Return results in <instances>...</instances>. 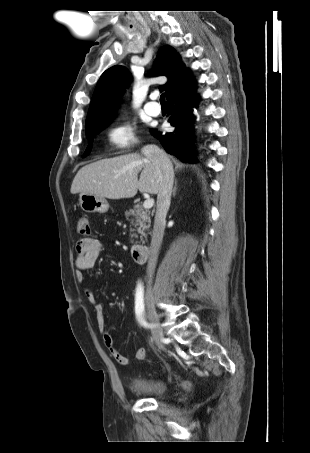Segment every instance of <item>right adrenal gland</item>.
<instances>
[{
	"label": "right adrenal gland",
	"instance_id": "2a0ac1e0",
	"mask_svg": "<svg viewBox=\"0 0 310 453\" xmlns=\"http://www.w3.org/2000/svg\"><path fill=\"white\" fill-rule=\"evenodd\" d=\"M176 190H177V181H175V186L173 188V196L176 195Z\"/></svg>",
	"mask_w": 310,
	"mask_h": 453
}]
</instances>
